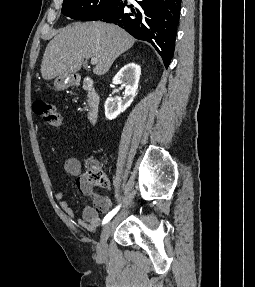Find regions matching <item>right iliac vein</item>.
<instances>
[{
    "instance_id": "1",
    "label": "right iliac vein",
    "mask_w": 255,
    "mask_h": 287,
    "mask_svg": "<svg viewBox=\"0 0 255 287\" xmlns=\"http://www.w3.org/2000/svg\"><path fill=\"white\" fill-rule=\"evenodd\" d=\"M113 222H108L102 229L100 242L97 245V256L100 260H106L107 258V240L112 231Z\"/></svg>"
}]
</instances>
